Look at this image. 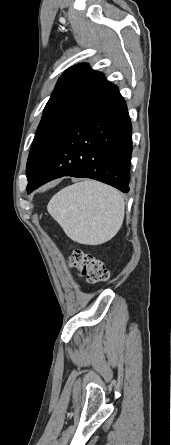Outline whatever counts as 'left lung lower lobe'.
<instances>
[{"label": "left lung lower lobe", "mask_w": 171, "mask_h": 445, "mask_svg": "<svg viewBox=\"0 0 171 445\" xmlns=\"http://www.w3.org/2000/svg\"><path fill=\"white\" fill-rule=\"evenodd\" d=\"M131 132L127 107L117 90L68 130L28 180L27 192L62 176L87 177L128 192Z\"/></svg>", "instance_id": "left-lung-lower-lobe-1"}]
</instances>
